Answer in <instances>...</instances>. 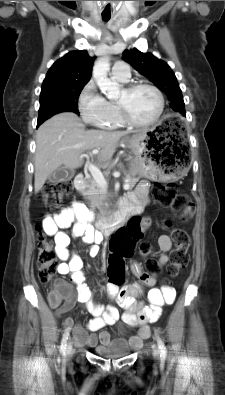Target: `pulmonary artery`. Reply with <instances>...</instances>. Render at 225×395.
Listing matches in <instances>:
<instances>
[{
	"mask_svg": "<svg viewBox=\"0 0 225 395\" xmlns=\"http://www.w3.org/2000/svg\"><path fill=\"white\" fill-rule=\"evenodd\" d=\"M112 77L114 79L127 82L130 78V70L127 63L118 61L112 68Z\"/></svg>",
	"mask_w": 225,
	"mask_h": 395,
	"instance_id": "e3ab8cb5",
	"label": "pulmonary artery"
}]
</instances>
